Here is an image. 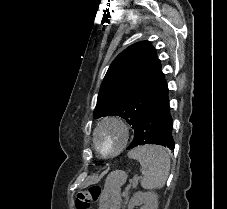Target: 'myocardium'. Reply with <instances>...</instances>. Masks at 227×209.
<instances>
[{"label": "myocardium", "instance_id": "myocardium-1", "mask_svg": "<svg viewBox=\"0 0 227 209\" xmlns=\"http://www.w3.org/2000/svg\"><path fill=\"white\" fill-rule=\"evenodd\" d=\"M106 123H114L117 126H119L122 130L123 138H122V141H121L120 145L118 146V148H116L115 150L110 151L108 153H102L98 149L97 144H96V134H97L98 130L100 129V127ZM129 139H130V128H129L127 122L118 115H107V116L102 117L101 119H99L97 121V123L95 124V126L91 132L92 147H93L94 151L96 152V154L99 157L104 158V159L114 157V156L118 155L120 152H122L123 149L127 146Z\"/></svg>", "mask_w": 227, "mask_h": 209}]
</instances>
